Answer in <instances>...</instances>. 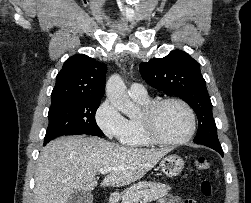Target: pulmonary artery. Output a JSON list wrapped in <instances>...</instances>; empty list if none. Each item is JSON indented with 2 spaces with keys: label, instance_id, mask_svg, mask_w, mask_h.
I'll return each instance as SVG.
<instances>
[{
  "label": "pulmonary artery",
  "instance_id": "e3ab8cb5",
  "mask_svg": "<svg viewBox=\"0 0 251 203\" xmlns=\"http://www.w3.org/2000/svg\"><path fill=\"white\" fill-rule=\"evenodd\" d=\"M129 96L135 100L148 99L146 88L139 83H132L128 90Z\"/></svg>",
  "mask_w": 251,
  "mask_h": 203
}]
</instances>
